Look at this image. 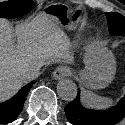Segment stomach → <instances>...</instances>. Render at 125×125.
I'll use <instances>...</instances> for the list:
<instances>
[{
	"mask_svg": "<svg viewBox=\"0 0 125 125\" xmlns=\"http://www.w3.org/2000/svg\"><path fill=\"white\" fill-rule=\"evenodd\" d=\"M46 15L54 18L62 28L79 30L85 22L82 10H71L56 5L47 7ZM86 68L80 74L81 83L90 89H102L108 86L116 73V61L113 53L103 42L90 44L85 53Z\"/></svg>",
	"mask_w": 125,
	"mask_h": 125,
	"instance_id": "1",
	"label": "stomach"
}]
</instances>
